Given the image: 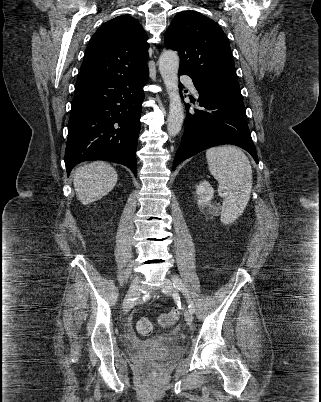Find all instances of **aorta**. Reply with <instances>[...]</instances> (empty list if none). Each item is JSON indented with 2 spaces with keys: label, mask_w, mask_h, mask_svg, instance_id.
<instances>
[{
  "label": "aorta",
  "mask_w": 321,
  "mask_h": 402,
  "mask_svg": "<svg viewBox=\"0 0 321 402\" xmlns=\"http://www.w3.org/2000/svg\"><path fill=\"white\" fill-rule=\"evenodd\" d=\"M179 56L173 50L163 51L159 58V71L169 95V115L167 132L170 137L176 136L182 128L184 110L178 87Z\"/></svg>",
  "instance_id": "obj_1"
}]
</instances>
